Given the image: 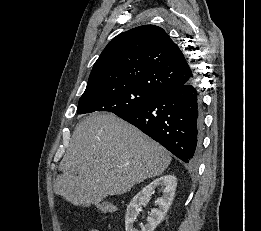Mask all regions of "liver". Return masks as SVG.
<instances>
[{
	"label": "liver",
	"instance_id": "liver-1",
	"mask_svg": "<svg viewBox=\"0 0 261 231\" xmlns=\"http://www.w3.org/2000/svg\"><path fill=\"white\" fill-rule=\"evenodd\" d=\"M170 162L169 152L136 127L111 113H93L73 132L54 192L89 207L161 175Z\"/></svg>",
	"mask_w": 261,
	"mask_h": 231
}]
</instances>
